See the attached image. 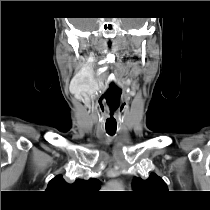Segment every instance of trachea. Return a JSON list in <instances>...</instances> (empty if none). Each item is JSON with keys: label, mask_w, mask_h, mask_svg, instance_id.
<instances>
[{"label": "trachea", "mask_w": 210, "mask_h": 210, "mask_svg": "<svg viewBox=\"0 0 210 210\" xmlns=\"http://www.w3.org/2000/svg\"><path fill=\"white\" fill-rule=\"evenodd\" d=\"M108 133L113 135L115 132L114 131H108Z\"/></svg>", "instance_id": "3493384b"}]
</instances>
